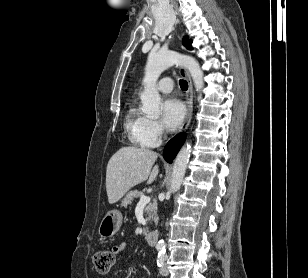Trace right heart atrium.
I'll use <instances>...</instances> for the list:
<instances>
[{
	"label": "right heart atrium",
	"mask_w": 308,
	"mask_h": 278,
	"mask_svg": "<svg viewBox=\"0 0 308 278\" xmlns=\"http://www.w3.org/2000/svg\"><path fill=\"white\" fill-rule=\"evenodd\" d=\"M165 136L163 126L155 120L147 119L144 142L147 147H156L161 144Z\"/></svg>",
	"instance_id": "right-heart-atrium-1"
}]
</instances>
